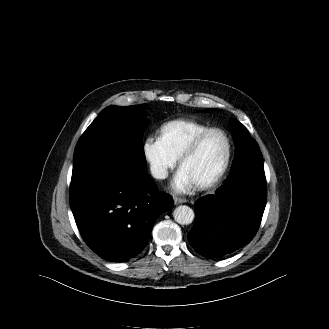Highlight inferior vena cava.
<instances>
[{"mask_svg": "<svg viewBox=\"0 0 329 329\" xmlns=\"http://www.w3.org/2000/svg\"><path fill=\"white\" fill-rule=\"evenodd\" d=\"M151 174L153 175L154 178L165 179L168 176V171L162 166L152 165Z\"/></svg>", "mask_w": 329, "mask_h": 329, "instance_id": "1", "label": "inferior vena cava"}]
</instances>
